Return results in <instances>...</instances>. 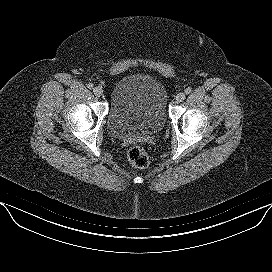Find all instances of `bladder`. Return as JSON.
I'll use <instances>...</instances> for the list:
<instances>
[{
	"instance_id": "bladder-1",
	"label": "bladder",
	"mask_w": 272,
	"mask_h": 272,
	"mask_svg": "<svg viewBox=\"0 0 272 272\" xmlns=\"http://www.w3.org/2000/svg\"><path fill=\"white\" fill-rule=\"evenodd\" d=\"M167 119V90L156 76L134 72L112 87L106 125L115 138L154 134Z\"/></svg>"
}]
</instances>
